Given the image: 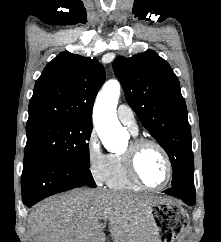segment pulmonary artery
Segmentation results:
<instances>
[{"label":"pulmonary artery","mask_w":221,"mask_h":242,"mask_svg":"<svg viewBox=\"0 0 221 242\" xmlns=\"http://www.w3.org/2000/svg\"><path fill=\"white\" fill-rule=\"evenodd\" d=\"M117 116L122 124L127 126L133 134L138 132V126L135 120L132 109L125 105L120 104L117 108Z\"/></svg>","instance_id":"1"}]
</instances>
